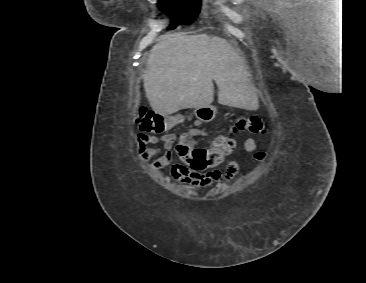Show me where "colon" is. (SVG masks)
I'll return each instance as SVG.
<instances>
[{
  "instance_id": "5ec220e1",
  "label": "colon",
  "mask_w": 366,
  "mask_h": 283,
  "mask_svg": "<svg viewBox=\"0 0 366 283\" xmlns=\"http://www.w3.org/2000/svg\"><path fill=\"white\" fill-rule=\"evenodd\" d=\"M184 119L185 117L181 115L162 116L152 110L141 107L138 111L136 123L142 132L163 134L174 128ZM240 132L264 134L266 132V125L258 116H241L238 117L230 127V135ZM230 135L218 136L214 140L212 146L208 149L195 148L193 146L192 135H183L175 147L181 165L194 171H204L212 167L219 161V159L216 158V149L223 154H228L233 151L235 141ZM263 157V152H258L256 154L257 159H262Z\"/></svg>"
}]
</instances>
